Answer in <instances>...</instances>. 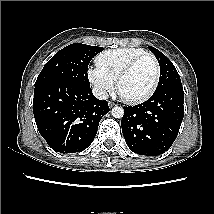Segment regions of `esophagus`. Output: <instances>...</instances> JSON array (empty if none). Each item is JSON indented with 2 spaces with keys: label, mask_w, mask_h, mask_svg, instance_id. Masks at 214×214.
I'll return each mask as SVG.
<instances>
[{
  "label": "esophagus",
  "mask_w": 214,
  "mask_h": 214,
  "mask_svg": "<svg viewBox=\"0 0 214 214\" xmlns=\"http://www.w3.org/2000/svg\"><path fill=\"white\" fill-rule=\"evenodd\" d=\"M114 105H115V103L109 102V107H110V108L113 107Z\"/></svg>",
  "instance_id": "obj_1"
}]
</instances>
